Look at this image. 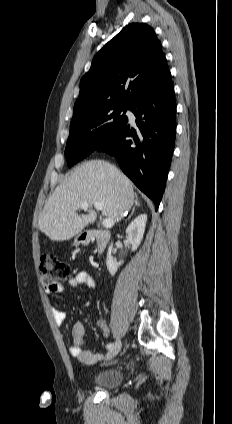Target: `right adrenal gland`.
<instances>
[{"instance_id": "2a0ac1e0", "label": "right adrenal gland", "mask_w": 232, "mask_h": 424, "mask_svg": "<svg viewBox=\"0 0 232 424\" xmlns=\"http://www.w3.org/2000/svg\"><path fill=\"white\" fill-rule=\"evenodd\" d=\"M139 206H140V203H139L138 198L136 196L135 207H139ZM135 207L133 208L132 213L130 214V216L128 217V219H130L132 217V215L134 214Z\"/></svg>"}]
</instances>
